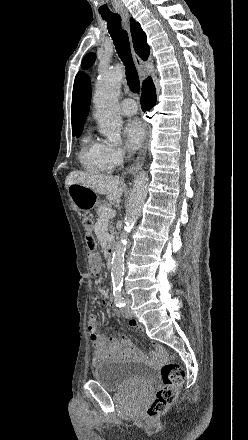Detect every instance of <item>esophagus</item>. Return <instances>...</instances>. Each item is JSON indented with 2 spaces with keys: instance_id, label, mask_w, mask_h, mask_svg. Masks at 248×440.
<instances>
[{
  "instance_id": "obj_1",
  "label": "esophagus",
  "mask_w": 248,
  "mask_h": 440,
  "mask_svg": "<svg viewBox=\"0 0 248 440\" xmlns=\"http://www.w3.org/2000/svg\"><path fill=\"white\" fill-rule=\"evenodd\" d=\"M120 14L123 18V21L125 23V27L129 30V13L126 9L121 10ZM132 56L136 65V68L139 72L140 77L143 79L146 77V73L144 71V61L135 53L134 49L132 48ZM147 147H148V138L146 139L142 149L139 152L138 157L136 158V160L130 165V167L127 169V173L130 175H134L136 174L139 169L141 168L146 153H147Z\"/></svg>"
}]
</instances>
